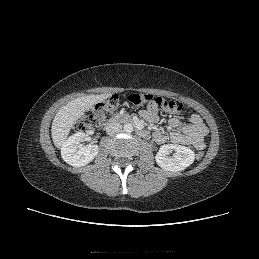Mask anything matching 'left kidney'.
<instances>
[{
	"mask_svg": "<svg viewBox=\"0 0 259 259\" xmlns=\"http://www.w3.org/2000/svg\"><path fill=\"white\" fill-rule=\"evenodd\" d=\"M171 151H175L174 156H169ZM155 159L162 169L177 172L184 170L194 162L195 153L182 145L166 144L160 147Z\"/></svg>",
	"mask_w": 259,
	"mask_h": 259,
	"instance_id": "5707ae66",
	"label": "left kidney"
}]
</instances>
